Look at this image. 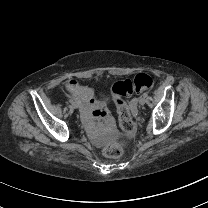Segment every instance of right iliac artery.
Listing matches in <instances>:
<instances>
[{
	"mask_svg": "<svg viewBox=\"0 0 208 208\" xmlns=\"http://www.w3.org/2000/svg\"><path fill=\"white\" fill-rule=\"evenodd\" d=\"M69 102H70L71 104H73V103H74V100H73V99H70Z\"/></svg>",
	"mask_w": 208,
	"mask_h": 208,
	"instance_id": "1",
	"label": "right iliac artery"
}]
</instances>
